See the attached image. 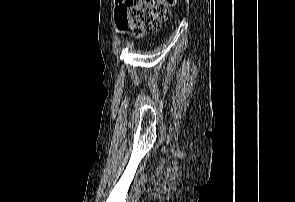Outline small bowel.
<instances>
[{"mask_svg": "<svg viewBox=\"0 0 295 202\" xmlns=\"http://www.w3.org/2000/svg\"><path fill=\"white\" fill-rule=\"evenodd\" d=\"M126 1L127 0H116L115 1L116 8H117L118 11L123 9L126 6Z\"/></svg>", "mask_w": 295, "mask_h": 202, "instance_id": "small-bowel-1", "label": "small bowel"}]
</instances>
